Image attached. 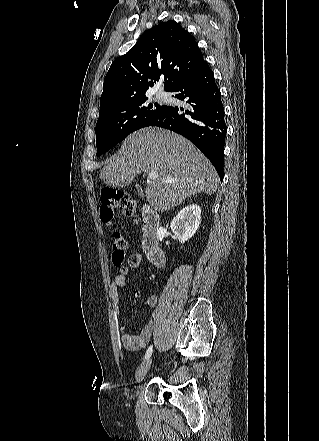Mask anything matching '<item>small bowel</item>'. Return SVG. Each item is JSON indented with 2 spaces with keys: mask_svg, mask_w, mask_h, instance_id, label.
I'll list each match as a JSON object with an SVG mask.
<instances>
[{
  "mask_svg": "<svg viewBox=\"0 0 319 441\" xmlns=\"http://www.w3.org/2000/svg\"><path fill=\"white\" fill-rule=\"evenodd\" d=\"M142 262V256L139 253H133L128 257V266H120L117 275L114 277L110 286V299L115 308V314L119 316V302H120V289L125 286L127 277L131 270L136 269ZM158 302L156 295H150L146 299V305L149 308H155ZM154 329V320L151 317L146 324L142 327L138 335L130 334L126 331L124 326L120 327V338L123 346L130 351L144 350L149 343Z\"/></svg>",
  "mask_w": 319,
  "mask_h": 441,
  "instance_id": "obj_1",
  "label": "small bowel"
}]
</instances>
